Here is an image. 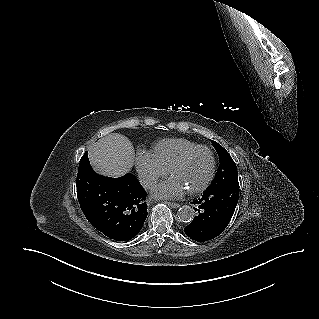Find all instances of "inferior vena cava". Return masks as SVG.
Instances as JSON below:
<instances>
[{"label":"inferior vena cava","mask_w":319,"mask_h":319,"mask_svg":"<svg viewBox=\"0 0 319 319\" xmlns=\"http://www.w3.org/2000/svg\"><path fill=\"white\" fill-rule=\"evenodd\" d=\"M140 183L145 187V188H151L152 186L155 185L156 180L153 177H141L140 178Z\"/></svg>","instance_id":"inferior-vena-cava-1"}]
</instances>
